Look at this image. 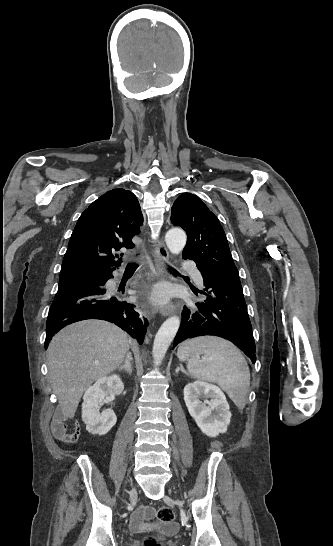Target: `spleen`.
I'll list each match as a JSON object with an SVG mask.
<instances>
[{
    "instance_id": "spleen-1",
    "label": "spleen",
    "mask_w": 333,
    "mask_h": 546,
    "mask_svg": "<svg viewBox=\"0 0 333 546\" xmlns=\"http://www.w3.org/2000/svg\"><path fill=\"white\" fill-rule=\"evenodd\" d=\"M177 356L187 361L192 377L218 384L239 409H244L250 371L244 356L231 342L215 336L196 337L181 343Z\"/></svg>"
}]
</instances>
